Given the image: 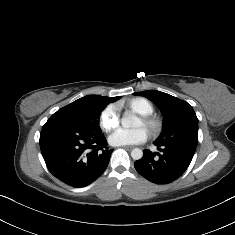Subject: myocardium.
Instances as JSON below:
<instances>
[{
	"label": "myocardium",
	"mask_w": 235,
	"mask_h": 235,
	"mask_svg": "<svg viewBox=\"0 0 235 235\" xmlns=\"http://www.w3.org/2000/svg\"><path fill=\"white\" fill-rule=\"evenodd\" d=\"M140 120L142 126H144L152 135L158 134L163 127V122L157 115L141 116Z\"/></svg>",
	"instance_id": "f54148a6"
}]
</instances>
